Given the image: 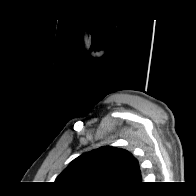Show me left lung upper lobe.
I'll list each match as a JSON object with an SVG mask.
<instances>
[{"mask_svg": "<svg viewBox=\"0 0 196 196\" xmlns=\"http://www.w3.org/2000/svg\"><path fill=\"white\" fill-rule=\"evenodd\" d=\"M140 181L136 158L124 149L105 146L74 159L55 182L81 193H119Z\"/></svg>", "mask_w": 196, "mask_h": 196, "instance_id": "1", "label": "left lung upper lobe"}]
</instances>
